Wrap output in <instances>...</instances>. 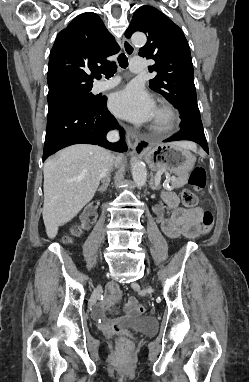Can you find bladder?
<instances>
[{"instance_id":"obj_1","label":"bladder","mask_w":249,"mask_h":382,"mask_svg":"<svg viewBox=\"0 0 249 382\" xmlns=\"http://www.w3.org/2000/svg\"><path fill=\"white\" fill-rule=\"evenodd\" d=\"M124 329L150 334L156 330V322L149 316L125 317L119 321Z\"/></svg>"}]
</instances>
